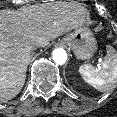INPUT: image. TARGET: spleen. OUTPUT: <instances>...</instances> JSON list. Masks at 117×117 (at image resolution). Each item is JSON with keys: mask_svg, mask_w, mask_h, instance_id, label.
I'll return each instance as SVG.
<instances>
[{"mask_svg": "<svg viewBox=\"0 0 117 117\" xmlns=\"http://www.w3.org/2000/svg\"><path fill=\"white\" fill-rule=\"evenodd\" d=\"M79 72L85 82L101 92L112 88L117 82V52L108 46L104 60L97 67L85 64L79 67Z\"/></svg>", "mask_w": 117, "mask_h": 117, "instance_id": "3e777b00", "label": "spleen"}]
</instances>
